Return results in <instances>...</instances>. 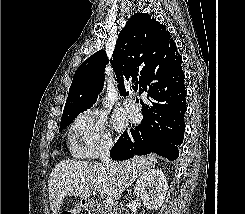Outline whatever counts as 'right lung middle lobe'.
Listing matches in <instances>:
<instances>
[{
	"label": "right lung middle lobe",
	"instance_id": "1",
	"mask_svg": "<svg viewBox=\"0 0 245 214\" xmlns=\"http://www.w3.org/2000/svg\"><path fill=\"white\" fill-rule=\"evenodd\" d=\"M83 112V111H82ZM80 112L76 113H70V114H63L61 123H60V129L59 131L61 132L66 126H68L79 114Z\"/></svg>",
	"mask_w": 245,
	"mask_h": 214
}]
</instances>
